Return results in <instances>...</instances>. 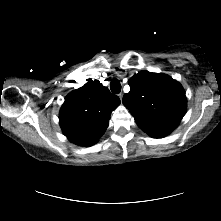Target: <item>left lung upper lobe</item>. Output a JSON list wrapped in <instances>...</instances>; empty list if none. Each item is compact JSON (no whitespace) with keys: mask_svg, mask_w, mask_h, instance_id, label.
<instances>
[{"mask_svg":"<svg viewBox=\"0 0 221 221\" xmlns=\"http://www.w3.org/2000/svg\"><path fill=\"white\" fill-rule=\"evenodd\" d=\"M130 92L123 104L137 125L154 138L170 134L186 111V96L181 84L168 75L139 72L129 80Z\"/></svg>","mask_w":221,"mask_h":221,"instance_id":"left-lung-upper-lobe-1","label":"left lung upper lobe"}]
</instances>
